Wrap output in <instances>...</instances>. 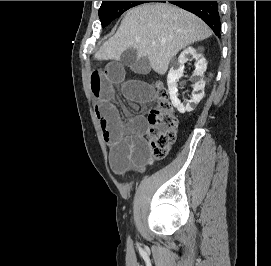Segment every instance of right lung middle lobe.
Masks as SVG:
<instances>
[{
  "instance_id": "obj_1",
  "label": "right lung middle lobe",
  "mask_w": 271,
  "mask_h": 266,
  "mask_svg": "<svg viewBox=\"0 0 271 266\" xmlns=\"http://www.w3.org/2000/svg\"><path fill=\"white\" fill-rule=\"evenodd\" d=\"M150 1H102L99 9V18L104 28L126 10Z\"/></svg>"
}]
</instances>
